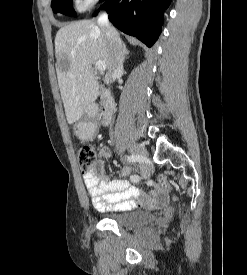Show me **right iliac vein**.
I'll return each mask as SVG.
<instances>
[{
    "label": "right iliac vein",
    "mask_w": 247,
    "mask_h": 275,
    "mask_svg": "<svg viewBox=\"0 0 247 275\" xmlns=\"http://www.w3.org/2000/svg\"><path fill=\"white\" fill-rule=\"evenodd\" d=\"M129 151L135 155L141 156L142 154L147 157L148 154L146 152V150L140 146V145H133L129 148ZM148 173V170L146 168V166H142V175L145 177Z\"/></svg>",
    "instance_id": "1"
}]
</instances>
